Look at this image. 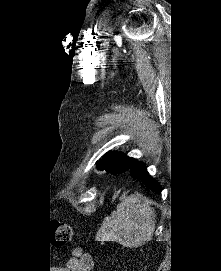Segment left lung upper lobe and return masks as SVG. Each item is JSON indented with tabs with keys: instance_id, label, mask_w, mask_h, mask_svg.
<instances>
[{
	"instance_id": "5c2ea615",
	"label": "left lung upper lobe",
	"mask_w": 221,
	"mask_h": 271,
	"mask_svg": "<svg viewBox=\"0 0 221 271\" xmlns=\"http://www.w3.org/2000/svg\"><path fill=\"white\" fill-rule=\"evenodd\" d=\"M132 161L133 158H129L124 154L108 152L96 163V165L101 171L105 170L112 174H119L127 171L130 168Z\"/></svg>"
}]
</instances>
